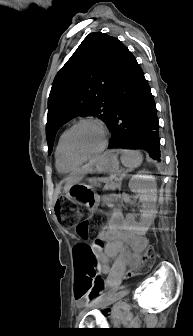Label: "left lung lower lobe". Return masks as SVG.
<instances>
[{
    "label": "left lung lower lobe",
    "mask_w": 193,
    "mask_h": 336,
    "mask_svg": "<svg viewBox=\"0 0 193 336\" xmlns=\"http://www.w3.org/2000/svg\"><path fill=\"white\" fill-rule=\"evenodd\" d=\"M107 126L112 133L109 149L141 148L160 161L156 105L144 73L128 49L112 94Z\"/></svg>",
    "instance_id": "left-lung-lower-lobe-1"
}]
</instances>
